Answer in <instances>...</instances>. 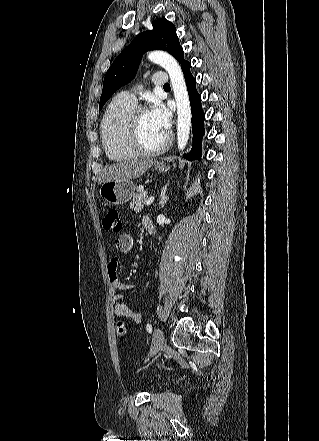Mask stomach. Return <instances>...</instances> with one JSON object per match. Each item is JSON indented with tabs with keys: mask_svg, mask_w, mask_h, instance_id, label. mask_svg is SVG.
<instances>
[{
	"mask_svg": "<svg viewBox=\"0 0 319 441\" xmlns=\"http://www.w3.org/2000/svg\"><path fill=\"white\" fill-rule=\"evenodd\" d=\"M159 173L166 172L168 167L163 164L156 165ZM102 199L109 205L127 203L135 193V185L130 180H113L102 184L99 190Z\"/></svg>",
	"mask_w": 319,
	"mask_h": 441,
	"instance_id": "stomach-1",
	"label": "stomach"
}]
</instances>
